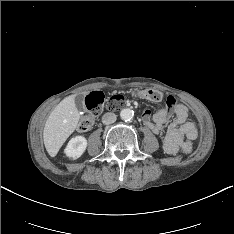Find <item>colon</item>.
Returning a JSON list of instances; mask_svg holds the SVG:
<instances>
[{
	"label": "colon",
	"mask_w": 234,
	"mask_h": 234,
	"mask_svg": "<svg viewBox=\"0 0 234 234\" xmlns=\"http://www.w3.org/2000/svg\"><path fill=\"white\" fill-rule=\"evenodd\" d=\"M135 96L153 102H158L163 99L162 93L153 89L137 91L135 92ZM123 105L124 97L121 94H114L109 98H105L101 92L90 93L85 99L86 114L82 117L78 124V131H88L93 126L95 117H97L103 109L108 111H116L121 109ZM182 149L185 153L190 154L192 151L197 149V146L186 142L184 143Z\"/></svg>",
	"instance_id": "5ec220e1"
}]
</instances>
